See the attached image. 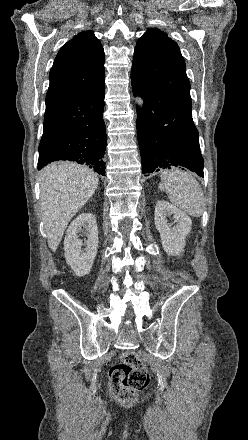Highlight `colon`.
Wrapping results in <instances>:
<instances>
[{
  "label": "colon",
  "mask_w": 248,
  "mask_h": 440,
  "mask_svg": "<svg viewBox=\"0 0 248 440\" xmlns=\"http://www.w3.org/2000/svg\"><path fill=\"white\" fill-rule=\"evenodd\" d=\"M149 373L134 351H126L122 361L109 371L110 389L113 397L121 403L137 400L138 393L149 384Z\"/></svg>",
  "instance_id": "5ec220e1"
}]
</instances>
